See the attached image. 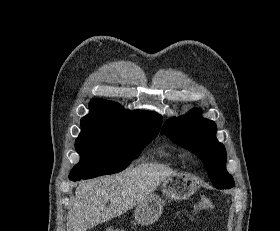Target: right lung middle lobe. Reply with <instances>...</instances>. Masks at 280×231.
Instances as JSON below:
<instances>
[{
  "mask_svg": "<svg viewBox=\"0 0 280 231\" xmlns=\"http://www.w3.org/2000/svg\"><path fill=\"white\" fill-rule=\"evenodd\" d=\"M81 128L75 141L80 161L69 176L83 179L124 170L160 130L110 118L81 120Z\"/></svg>",
  "mask_w": 280,
  "mask_h": 231,
  "instance_id": "right-lung-middle-lobe-1",
  "label": "right lung middle lobe"
}]
</instances>
